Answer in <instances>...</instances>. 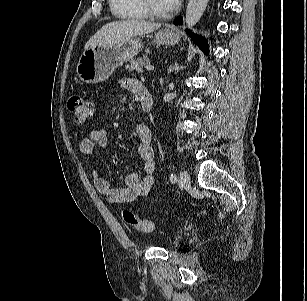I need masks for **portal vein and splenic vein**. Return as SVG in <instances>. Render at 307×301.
Masks as SVG:
<instances>
[{"instance_id": "1", "label": "portal vein and splenic vein", "mask_w": 307, "mask_h": 301, "mask_svg": "<svg viewBox=\"0 0 307 301\" xmlns=\"http://www.w3.org/2000/svg\"><path fill=\"white\" fill-rule=\"evenodd\" d=\"M146 69L149 70V71H152V70H154V66H152V65H147V66H146Z\"/></svg>"}]
</instances>
